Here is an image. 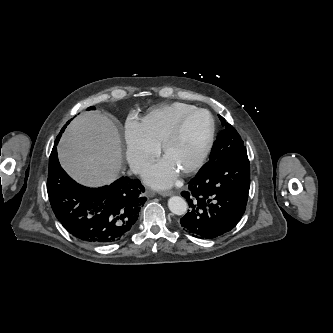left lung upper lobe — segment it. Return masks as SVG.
<instances>
[{
  "label": "left lung upper lobe",
  "mask_w": 333,
  "mask_h": 333,
  "mask_svg": "<svg viewBox=\"0 0 333 333\" xmlns=\"http://www.w3.org/2000/svg\"><path fill=\"white\" fill-rule=\"evenodd\" d=\"M219 118L224 127L223 131L228 132V135L225 139H216L209 156V161H225L226 159L246 154V148L238 132L230 124H226L222 116L219 115Z\"/></svg>",
  "instance_id": "obj_1"
}]
</instances>
